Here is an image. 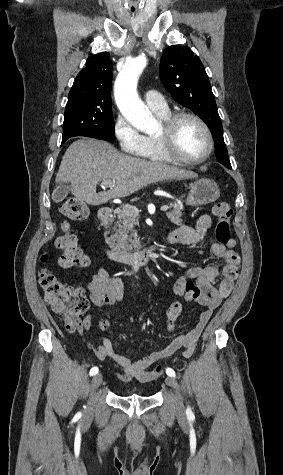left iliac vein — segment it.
Wrapping results in <instances>:
<instances>
[{"instance_id":"left-iliac-vein-1","label":"left iliac vein","mask_w":283,"mask_h":475,"mask_svg":"<svg viewBox=\"0 0 283 475\" xmlns=\"http://www.w3.org/2000/svg\"><path fill=\"white\" fill-rule=\"evenodd\" d=\"M165 382L167 383L168 386H170L176 393V399H175V405L177 407V410L179 412V415L181 416L182 415V412L180 411L182 408H183V402H182V396L180 394V391H179V385L177 383V381L169 376V377H166L165 379Z\"/></svg>"}]
</instances>
